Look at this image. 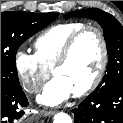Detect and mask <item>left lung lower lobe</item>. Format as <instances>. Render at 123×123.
I'll use <instances>...</instances> for the list:
<instances>
[{
    "label": "left lung lower lobe",
    "mask_w": 123,
    "mask_h": 123,
    "mask_svg": "<svg viewBox=\"0 0 123 123\" xmlns=\"http://www.w3.org/2000/svg\"><path fill=\"white\" fill-rule=\"evenodd\" d=\"M72 112L75 123H123V85L94 90Z\"/></svg>",
    "instance_id": "1"
}]
</instances>
